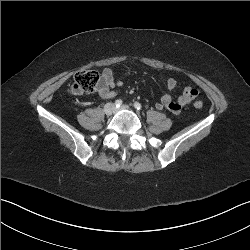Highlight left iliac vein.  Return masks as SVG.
Wrapping results in <instances>:
<instances>
[{
    "label": "left iliac vein",
    "instance_id": "4c4485c4",
    "mask_svg": "<svg viewBox=\"0 0 250 250\" xmlns=\"http://www.w3.org/2000/svg\"><path fill=\"white\" fill-rule=\"evenodd\" d=\"M130 107L128 105H122L119 110H129Z\"/></svg>",
    "mask_w": 250,
    "mask_h": 250
}]
</instances>
